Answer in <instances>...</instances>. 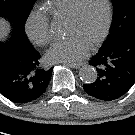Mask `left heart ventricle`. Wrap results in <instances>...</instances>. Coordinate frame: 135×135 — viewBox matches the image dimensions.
I'll list each match as a JSON object with an SVG mask.
<instances>
[{
  "label": "left heart ventricle",
  "instance_id": "b2bd125f",
  "mask_svg": "<svg viewBox=\"0 0 135 135\" xmlns=\"http://www.w3.org/2000/svg\"><path fill=\"white\" fill-rule=\"evenodd\" d=\"M105 20L104 0H85L77 19L66 20V34L77 35L90 45L102 32Z\"/></svg>",
  "mask_w": 135,
  "mask_h": 135
}]
</instances>
